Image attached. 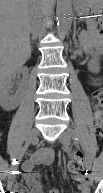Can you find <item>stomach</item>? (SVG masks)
Returning a JSON list of instances; mask_svg holds the SVG:
<instances>
[{
    "label": "stomach",
    "mask_w": 103,
    "mask_h": 193,
    "mask_svg": "<svg viewBox=\"0 0 103 193\" xmlns=\"http://www.w3.org/2000/svg\"><path fill=\"white\" fill-rule=\"evenodd\" d=\"M74 7L81 15L100 14L103 10V0H74Z\"/></svg>",
    "instance_id": "stomach-1"
}]
</instances>
